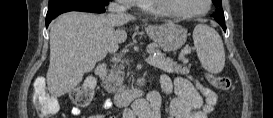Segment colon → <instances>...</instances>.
<instances>
[{
  "instance_id": "5ec220e1",
  "label": "colon",
  "mask_w": 273,
  "mask_h": 118,
  "mask_svg": "<svg viewBox=\"0 0 273 118\" xmlns=\"http://www.w3.org/2000/svg\"><path fill=\"white\" fill-rule=\"evenodd\" d=\"M210 84L222 91H228L231 86V80L225 76L207 75ZM96 79L93 77L86 78L82 84L74 88L70 94V99L75 106L84 107L92 99ZM33 106L37 113L49 117L59 110V103L55 96L51 95L47 89L44 79H37L34 84Z\"/></svg>"
}]
</instances>
